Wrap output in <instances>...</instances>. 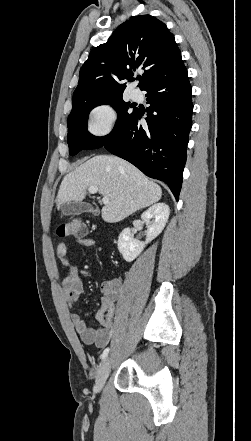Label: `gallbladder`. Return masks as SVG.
Instances as JSON below:
<instances>
[{
	"mask_svg": "<svg viewBox=\"0 0 251 441\" xmlns=\"http://www.w3.org/2000/svg\"><path fill=\"white\" fill-rule=\"evenodd\" d=\"M84 212H93L95 215L99 214L98 210H94L90 204L71 201L67 202L62 207L64 215H80Z\"/></svg>",
	"mask_w": 251,
	"mask_h": 441,
	"instance_id": "obj_1",
	"label": "gallbladder"
}]
</instances>
